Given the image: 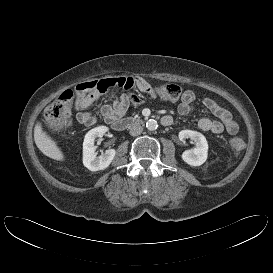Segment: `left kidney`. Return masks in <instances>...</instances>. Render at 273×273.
I'll use <instances>...</instances> for the list:
<instances>
[{"label": "left kidney", "instance_id": "obj_1", "mask_svg": "<svg viewBox=\"0 0 273 273\" xmlns=\"http://www.w3.org/2000/svg\"><path fill=\"white\" fill-rule=\"evenodd\" d=\"M180 141L185 139H192L196 145L195 148L191 150H185L182 153V159L184 162L191 166H200L202 165L208 155V143L203 134L193 130H182L179 132Z\"/></svg>", "mask_w": 273, "mask_h": 273}]
</instances>
